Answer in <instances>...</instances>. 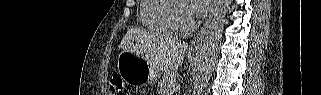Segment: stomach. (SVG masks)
<instances>
[{"mask_svg":"<svg viewBox=\"0 0 321 95\" xmlns=\"http://www.w3.org/2000/svg\"><path fill=\"white\" fill-rule=\"evenodd\" d=\"M195 50V49H193ZM118 73L131 85L152 84L159 76V70L140 55L123 50L117 59Z\"/></svg>","mask_w":321,"mask_h":95,"instance_id":"stomach-1","label":"stomach"}]
</instances>
